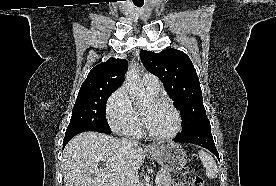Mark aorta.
Returning <instances> with one entry per match:
<instances>
[{"label": "aorta", "mask_w": 276, "mask_h": 186, "mask_svg": "<svg viewBox=\"0 0 276 186\" xmlns=\"http://www.w3.org/2000/svg\"><path fill=\"white\" fill-rule=\"evenodd\" d=\"M125 82L132 97L135 100H141L143 97V89L140 87L139 84V73L136 66L133 65L129 67L125 76Z\"/></svg>", "instance_id": "1"}]
</instances>
